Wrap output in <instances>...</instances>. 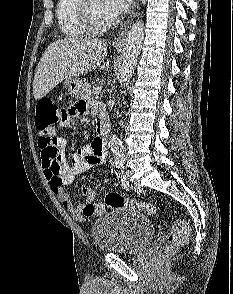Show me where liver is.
Segmentation results:
<instances>
[{
  "mask_svg": "<svg viewBox=\"0 0 233 294\" xmlns=\"http://www.w3.org/2000/svg\"><path fill=\"white\" fill-rule=\"evenodd\" d=\"M107 44L98 39L66 38L52 42L34 75L33 95L46 96L58 83L96 69L104 61Z\"/></svg>",
  "mask_w": 233,
  "mask_h": 294,
  "instance_id": "1",
  "label": "liver"
}]
</instances>
